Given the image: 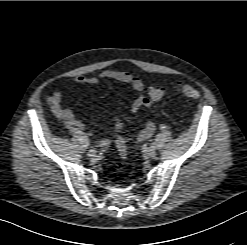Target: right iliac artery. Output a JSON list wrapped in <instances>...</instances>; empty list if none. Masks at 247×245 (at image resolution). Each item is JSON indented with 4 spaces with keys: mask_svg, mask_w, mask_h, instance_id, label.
<instances>
[{
    "mask_svg": "<svg viewBox=\"0 0 247 245\" xmlns=\"http://www.w3.org/2000/svg\"><path fill=\"white\" fill-rule=\"evenodd\" d=\"M90 150H91V151H95V149H94V148H91Z\"/></svg>",
    "mask_w": 247,
    "mask_h": 245,
    "instance_id": "82829eb1",
    "label": "right iliac artery"
}]
</instances>
